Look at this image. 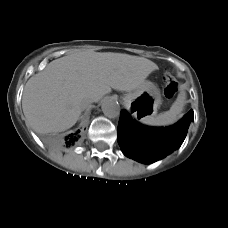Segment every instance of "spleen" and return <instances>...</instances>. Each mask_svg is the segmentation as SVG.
Here are the masks:
<instances>
[{"label": "spleen", "mask_w": 228, "mask_h": 228, "mask_svg": "<svg viewBox=\"0 0 228 228\" xmlns=\"http://www.w3.org/2000/svg\"><path fill=\"white\" fill-rule=\"evenodd\" d=\"M185 100L186 93L185 91H181L168 111L157 116L148 117L143 120V123L151 126H167L175 123L183 111Z\"/></svg>", "instance_id": "spleen-1"}]
</instances>
